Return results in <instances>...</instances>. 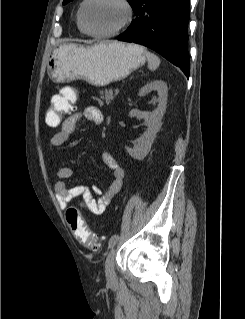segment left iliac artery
<instances>
[{
	"instance_id": "1",
	"label": "left iliac artery",
	"mask_w": 245,
	"mask_h": 319,
	"mask_svg": "<svg viewBox=\"0 0 245 319\" xmlns=\"http://www.w3.org/2000/svg\"><path fill=\"white\" fill-rule=\"evenodd\" d=\"M119 240V235L115 234L113 236H111L110 240H109V248L114 247V245L117 243V241Z\"/></svg>"
}]
</instances>
